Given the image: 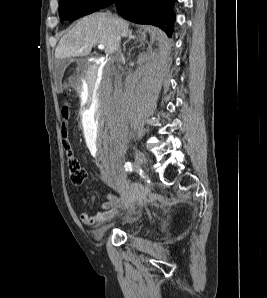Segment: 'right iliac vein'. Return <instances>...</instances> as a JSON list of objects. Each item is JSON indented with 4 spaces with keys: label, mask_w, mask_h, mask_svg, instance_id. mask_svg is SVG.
<instances>
[{
    "label": "right iliac vein",
    "mask_w": 267,
    "mask_h": 298,
    "mask_svg": "<svg viewBox=\"0 0 267 298\" xmlns=\"http://www.w3.org/2000/svg\"><path fill=\"white\" fill-rule=\"evenodd\" d=\"M135 156H136V160H137V164H138V167H143L146 165L147 163V157L144 153H142L141 151L139 150H136L135 151Z\"/></svg>",
    "instance_id": "63e3f726"
}]
</instances>
